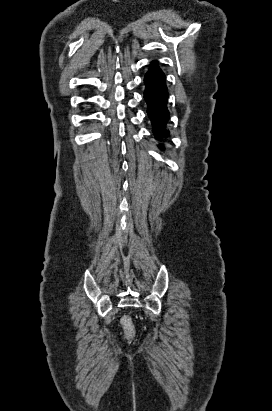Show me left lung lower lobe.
<instances>
[{"label": "left lung lower lobe", "instance_id": "left-lung-lower-lobe-1", "mask_svg": "<svg viewBox=\"0 0 272 411\" xmlns=\"http://www.w3.org/2000/svg\"><path fill=\"white\" fill-rule=\"evenodd\" d=\"M144 82L146 85L144 98L148 104L147 113L153 125V132L158 139L168 137L169 132L166 129L169 118L167 109L168 91L165 75L156 61L150 64Z\"/></svg>", "mask_w": 272, "mask_h": 411}]
</instances>
